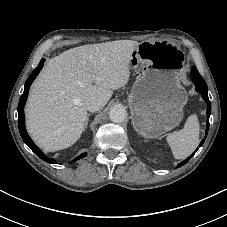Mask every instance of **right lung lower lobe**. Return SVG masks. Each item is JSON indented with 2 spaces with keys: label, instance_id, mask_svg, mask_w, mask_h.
Masks as SVG:
<instances>
[{
  "label": "right lung lower lobe",
  "instance_id": "1",
  "mask_svg": "<svg viewBox=\"0 0 227 227\" xmlns=\"http://www.w3.org/2000/svg\"><path fill=\"white\" fill-rule=\"evenodd\" d=\"M45 59H42L38 65V67L31 73V75L29 76V78L27 79L26 83H25V87H24V92L20 98L19 104H18V126H19V131L21 134V137L23 139V141L31 148V150L37 155L39 156L42 160H44L45 162L48 163H56L54 159L47 157L35 144L34 142L31 140V138L29 137L26 128H25V116H24V106L28 97V92H29V88L30 85L32 84V82L34 81V79L36 78V76L38 75V73L40 72V70L43 67V63H44ZM86 156L85 153L79 155L78 157H76L73 161H76L78 159H80L81 157Z\"/></svg>",
  "mask_w": 227,
  "mask_h": 227
}]
</instances>
